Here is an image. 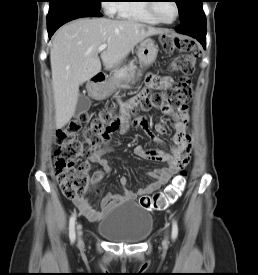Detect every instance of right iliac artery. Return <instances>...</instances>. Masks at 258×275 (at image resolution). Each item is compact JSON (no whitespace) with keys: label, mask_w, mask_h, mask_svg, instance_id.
<instances>
[{"label":"right iliac artery","mask_w":258,"mask_h":275,"mask_svg":"<svg viewBox=\"0 0 258 275\" xmlns=\"http://www.w3.org/2000/svg\"><path fill=\"white\" fill-rule=\"evenodd\" d=\"M75 220H76V216L73 214L70 217V220H69V238H70L71 243H73L75 241V238H76Z\"/></svg>","instance_id":"1"}]
</instances>
